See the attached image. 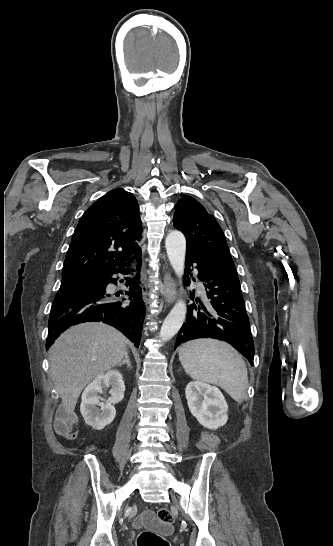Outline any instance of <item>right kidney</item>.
<instances>
[{"instance_id":"1","label":"right kidney","mask_w":333,"mask_h":546,"mask_svg":"<svg viewBox=\"0 0 333 546\" xmlns=\"http://www.w3.org/2000/svg\"><path fill=\"white\" fill-rule=\"evenodd\" d=\"M111 387L110 397L106 404L100 405L102 398L98 395L105 388ZM125 385L122 374L117 370H110L105 374H100L91 382L82 394L80 405L81 414L87 425L96 430H101L109 425L115 418L116 410L113 406L121 402L124 398Z\"/></svg>"}]
</instances>
